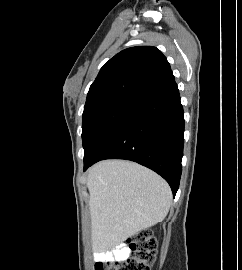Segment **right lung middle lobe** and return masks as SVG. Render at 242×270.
Masks as SVG:
<instances>
[{
	"mask_svg": "<svg viewBox=\"0 0 242 270\" xmlns=\"http://www.w3.org/2000/svg\"><path fill=\"white\" fill-rule=\"evenodd\" d=\"M135 105L134 102L115 101L83 112L84 162L91 160L95 156Z\"/></svg>",
	"mask_w": 242,
	"mask_h": 270,
	"instance_id": "dd1d6c3e",
	"label": "right lung middle lobe"
}]
</instances>
